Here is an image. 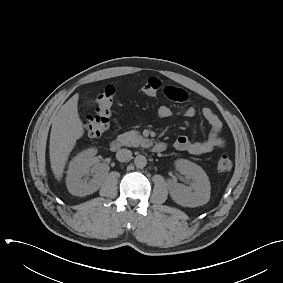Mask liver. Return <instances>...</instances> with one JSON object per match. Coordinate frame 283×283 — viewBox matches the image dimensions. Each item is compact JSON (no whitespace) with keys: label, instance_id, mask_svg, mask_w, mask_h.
Returning <instances> with one entry per match:
<instances>
[{"label":"liver","instance_id":"1","mask_svg":"<svg viewBox=\"0 0 283 283\" xmlns=\"http://www.w3.org/2000/svg\"><path fill=\"white\" fill-rule=\"evenodd\" d=\"M79 95L72 96L53 117L50 134V163L56 180L60 181L70 152L84 134L78 113Z\"/></svg>","mask_w":283,"mask_h":283}]
</instances>
